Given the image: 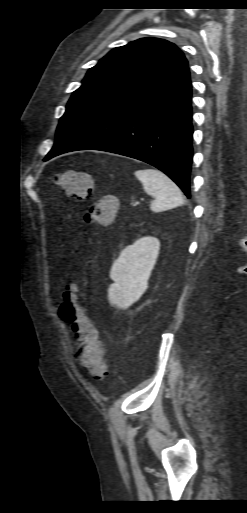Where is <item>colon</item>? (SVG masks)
<instances>
[{"label": "colon", "mask_w": 247, "mask_h": 513, "mask_svg": "<svg viewBox=\"0 0 247 513\" xmlns=\"http://www.w3.org/2000/svg\"><path fill=\"white\" fill-rule=\"evenodd\" d=\"M56 182L71 198L83 200L93 192L92 177L86 172L65 170L56 175ZM116 211L117 202L113 196L108 195L98 205L90 206L84 218L87 222L105 227L114 221ZM59 312L78 341L73 356L78 361L79 370L89 377L103 379L107 374L105 348L102 341L98 340V330L87 310L79 303L76 285L70 284L63 290Z\"/></svg>", "instance_id": "1"}]
</instances>
